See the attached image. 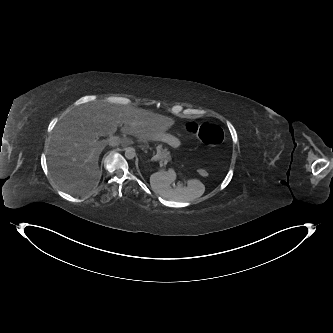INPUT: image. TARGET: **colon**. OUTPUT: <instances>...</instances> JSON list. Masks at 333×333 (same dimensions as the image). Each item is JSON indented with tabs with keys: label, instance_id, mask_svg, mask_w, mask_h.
<instances>
[{
	"label": "colon",
	"instance_id": "colon-1",
	"mask_svg": "<svg viewBox=\"0 0 333 333\" xmlns=\"http://www.w3.org/2000/svg\"><path fill=\"white\" fill-rule=\"evenodd\" d=\"M186 129L196 135L202 142L208 145L216 146L222 143L224 139L223 130L212 123L203 122H188L186 124ZM200 175L206 176L207 173L204 169L199 170Z\"/></svg>",
	"mask_w": 333,
	"mask_h": 333
}]
</instances>
